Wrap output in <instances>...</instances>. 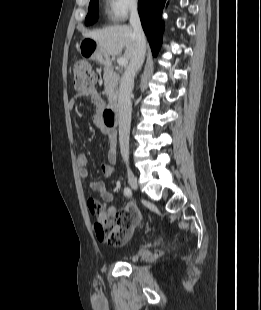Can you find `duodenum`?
I'll return each mask as SVG.
<instances>
[{
	"instance_id": "obj_1",
	"label": "duodenum",
	"mask_w": 261,
	"mask_h": 310,
	"mask_svg": "<svg viewBox=\"0 0 261 310\" xmlns=\"http://www.w3.org/2000/svg\"><path fill=\"white\" fill-rule=\"evenodd\" d=\"M106 65L111 68V63L106 62ZM118 121V109L114 101H110L105 107L102 115V122L108 128H114Z\"/></svg>"
}]
</instances>
